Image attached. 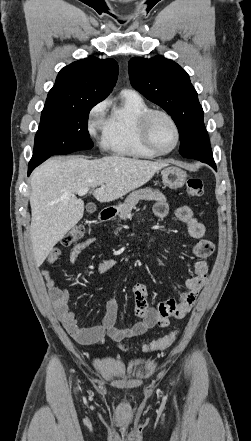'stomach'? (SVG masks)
Listing matches in <instances>:
<instances>
[{"mask_svg":"<svg viewBox=\"0 0 251 441\" xmlns=\"http://www.w3.org/2000/svg\"><path fill=\"white\" fill-rule=\"evenodd\" d=\"M163 184L171 189H178L184 186L187 174L176 166H168L161 172Z\"/></svg>","mask_w":251,"mask_h":441,"instance_id":"stomach-1","label":"stomach"}]
</instances>
